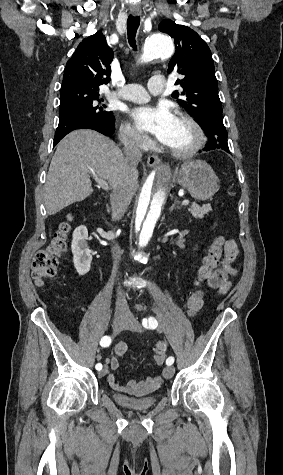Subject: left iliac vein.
I'll return each mask as SVG.
<instances>
[{"instance_id": "1", "label": "left iliac vein", "mask_w": 283, "mask_h": 475, "mask_svg": "<svg viewBox=\"0 0 283 475\" xmlns=\"http://www.w3.org/2000/svg\"><path fill=\"white\" fill-rule=\"evenodd\" d=\"M124 330H134L137 332H143L144 329L138 320L130 313L127 314V322L123 328ZM175 369L173 366H167L163 370V376L165 379H170L173 377Z\"/></svg>"}]
</instances>
